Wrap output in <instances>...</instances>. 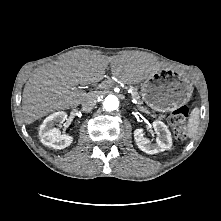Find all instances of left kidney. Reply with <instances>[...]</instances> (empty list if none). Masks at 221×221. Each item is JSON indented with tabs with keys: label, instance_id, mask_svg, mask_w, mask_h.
Wrapping results in <instances>:
<instances>
[{
	"label": "left kidney",
	"instance_id": "5707ae66",
	"mask_svg": "<svg viewBox=\"0 0 221 221\" xmlns=\"http://www.w3.org/2000/svg\"><path fill=\"white\" fill-rule=\"evenodd\" d=\"M152 126L158 133L156 145L152 144L149 139L144 137L142 128H138L134 131V139L137 146L147 154H156L170 149L172 147V137L168 127L159 120L154 121Z\"/></svg>",
	"mask_w": 221,
	"mask_h": 221
}]
</instances>
